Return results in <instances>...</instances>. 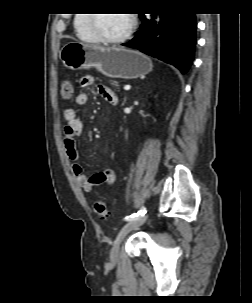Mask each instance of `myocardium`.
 Listing matches in <instances>:
<instances>
[{
	"label": "myocardium",
	"instance_id": "1",
	"mask_svg": "<svg viewBox=\"0 0 252 303\" xmlns=\"http://www.w3.org/2000/svg\"><path fill=\"white\" fill-rule=\"evenodd\" d=\"M128 16L130 18V22H129V25L126 29V31L119 35V36H115V37H108V36H105L103 33H101L96 24H97V15L96 14H91L90 16V25H91V28L94 32V35H95V39L101 41V42H105V43H120V42H123L125 40H127L131 34L133 33L136 25H137V18H136V15L133 14V13H128Z\"/></svg>",
	"mask_w": 252,
	"mask_h": 303
}]
</instances>
